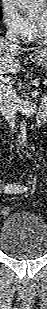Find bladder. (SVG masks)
<instances>
[{
  "instance_id": "1",
  "label": "bladder",
  "mask_w": 47,
  "mask_h": 309,
  "mask_svg": "<svg viewBox=\"0 0 47 309\" xmlns=\"http://www.w3.org/2000/svg\"><path fill=\"white\" fill-rule=\"evenodd\" d=\"M0 246L13 258L41 257L47 250L46 223L32 213H13L3 223Z\"/></svg>"
}]
</instances>
